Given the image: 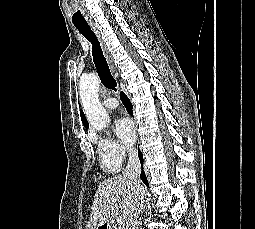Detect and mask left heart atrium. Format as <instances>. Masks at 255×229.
Listing matches in <instances>:
<instances>
[{"label":"left heart atrium","mask_w":255,"mask_h":229,"mask_svg":"<svg viewBox=\"0 0 255 229\" xmlns=\"http://www.w3.org/2000/svg\"><path fill=\"white\" fill-rule=\"evenodd\" d=\"M114 132L127 145L133 144L136 139L134 124L126 117L118 118L115 121Z\"/></svg>","instance_id":"left-heart-atrium-1"}]
</instances>
